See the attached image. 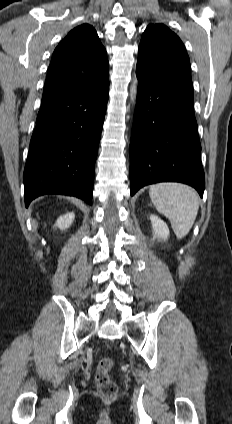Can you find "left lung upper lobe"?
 <instances>
[{"label": "left lung upper lobe", "mask_w": 232, "mask_h": 424, "mask_svg": "<svg viewBox=\"0 0 232 424\" xmlns=\"http://www.w3.org/2000/svg\"><path fill=\"white\" fill-rule=\"evenodd\" d=\"M136 71L151 77L190 76L191 66L180 38L163 24H149L139 45Z\"/></svg>", "instance_id": "left-lung-upper-lobe-1"}]
</instances>
